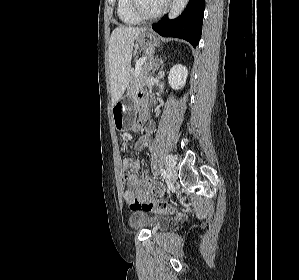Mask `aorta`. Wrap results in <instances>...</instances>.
<instances>
[{
  "label": "aorta",
  "instance_id": "1",
  "mask_svg": "<svg viewBox=\"0 0 299 280\" xmlns=\"http://www.w3.org/2000/svg\"><path fill=\"white\" fill-rule=\"evenodd\" d=\"M189 0H173L170 6L169 18L173 19L178 17L186 8Z\"/></svg>",
  "mask_w": 299,
  "mask_h": 280
}]
</instances>
